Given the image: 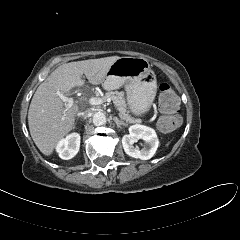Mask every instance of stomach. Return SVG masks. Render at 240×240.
Here are the masks:
<instances>
[{
  "label": "stomach",
  "mask_w": 240,
  "mask_h": 240,
  "mask_svg": "<svg viewBox=\"0 0 240 240\" xmlns=\"http://www.w3.org/2000/svg\"><path fill=\"white\" fill-rule=\"evenodd\" d=\"M124 86L130 112L135 116L147 113L154 101L157 81L147 59L121 57L109 69L103 87L114 90Z\"/></svg>",
  "instance_id": "stomach-1"
}]
</instances>
